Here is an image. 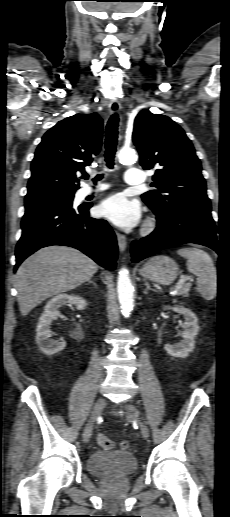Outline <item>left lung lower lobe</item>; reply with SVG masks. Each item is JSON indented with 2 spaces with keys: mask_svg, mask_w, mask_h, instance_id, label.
I'll return each mask as SVG.
<instances>
[{
  "mask_svg": "<svg viewBox=\"0 0 230 517\" xmlns=\"http://www.w3.org/2000/svg\"><path fill=\"white\" fill-rule=\"evenodd\" d=\"M156 216V229L149 236L132 242L133 262L185 243L204 245L220 253L211 205L185 206Z\"/></svg>",
  "mask_w": 230,
  "mask_h": 517,
  "instance_id": "0a47b994",
  "label": "left lung lower lobe"
}]
</instances>
